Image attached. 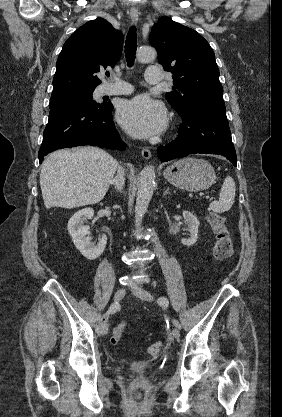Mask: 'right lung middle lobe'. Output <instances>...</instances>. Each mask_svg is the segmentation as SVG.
Instances as JSON below:
<instances>
[{"mask_svg": "<svg viewBox=\"0 0 282 417\" xmlns=\"http://www.w3.org/2000/svg\"><path fill=\"white\" fill-rule=\"evenodd\" d=\"M93 91L94 89H85L52 94L50 99V109L74 102H83L99 105V103H96L93 100Z\"/></svg>", "mask_w": 282, "mask_h": 417, "instance_id": "obj_1", "label": "right lung middle lobe"}]
</instances>
